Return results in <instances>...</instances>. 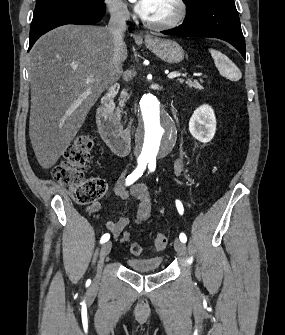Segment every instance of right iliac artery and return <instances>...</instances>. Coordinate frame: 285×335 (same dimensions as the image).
<instances>
[{"label":"right iliac artery","mask_w":285,"mask_h":335,"mask_svg":"<svg viewBox=\"0 0 285 335\" xmlns=\"http://www.w3.org/2000/svg\"><path fill=\"white\" fill-rule=\"evenodd\" d=\"M146 165H147V162L144 161V162H138V166L137 168L130 174L127 176L126 178V186H129L131 184H133L139 177L142 176L144 170L146 169ZM110 238V235L108 233L104 234L102 237H101V240H100V243H105L106 241H108Z\"/></svg>","instance_id":"obj_1"}]
</instances>
